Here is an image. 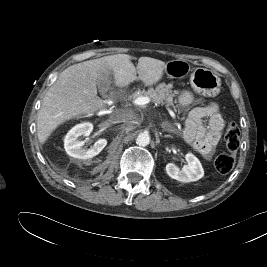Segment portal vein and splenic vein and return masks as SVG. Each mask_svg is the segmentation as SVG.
I'll use <instances>...</instances> for the list:
<instances>
[{"label":"portal vein and splenic vein","instance_id":"portal-vein-and-splenic-vein-1","mask_svg":"<svg viewBox=\"0 0 267 267\" xmlns=\"http://www.w3.org/2000/svg\"><path fill=\"white\" fill-rule=\"evenodd\" d=\"M133 102L135 105H145L150 102V98L147 96L146 97L141 96V97L136 98ZM167 110L169 114L171 115V117L176 118L174 112L170 108H167Z\"/></svg>","mask_w":267,"mask_h":267}]
</instances>
